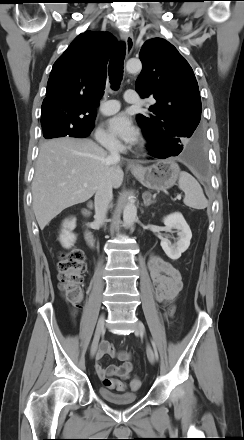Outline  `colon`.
<instances>
[{
    "instance_id": "1",
    "label": "colon",
    "mask_w": 244,
    "mask_h": 440,
    "mask_svg": "<svg viewBox=\"0 0 244 440\" xmlns=\"http://www.w3.org/2000/svg\"><path fill=\"white\" fill-rule=\"evenodd\" d=\"M59 289L66 302L73 308L80 307L82 300L81 285L86 271L85 256L82 250L71 248L60 254L57 264ZM103 386L107 389L123 391L126 384L122 380L107 376L102 380ZM132 390H138L141 381L135 377L130 383Z\"/></svg>"
}]
</instances>
